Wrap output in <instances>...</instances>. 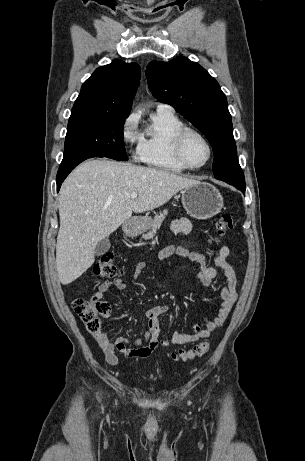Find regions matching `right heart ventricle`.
<instances>
[{"instance_id": "1", "label": "right heart ventricle", "mask_w": 305, "mask_h": 461, "mask_svg": "<svg viewBox=\"0 0 305 461\" xmlns=\"http://www.w3.org/2000/svg\"><path fill=\"white\" fill-rule=\"evenodd\" d=\"M184 126L173 111L157 110L150 124L138 135L139 161L170 172L184 171L186 168L178 162L173 152V138Z\"/></svg>"}]
</instances>
